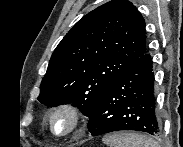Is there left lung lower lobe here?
Returning a JSON list of instances; mask_svg holds the SVG:
<instances>
[{
    "label": "left lung lower lobe",
    "mask_w": 183,
    "mask_h": 147,
    "mask_svg": "<svg viewBox=\"0 0 183 147\" xmlns=\"http://www.w3.org/2000/svg\"><path fill=\"white\" fill-rule=\"evenodd\" d=\"M155 104L152 60L145 52L103 93L90 116L88 129L93 136L120 130L158 135L161 124Z\"/></svg>",
    "instance_id": "obj_1"
}]
</instances>
